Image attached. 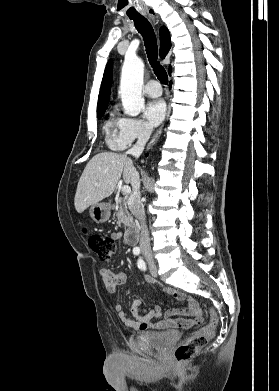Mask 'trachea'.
Returning <instances> with one entry per match:
<instances>
[{
    "instance_id": "obj_1",
    "label": "trachea",
    "mask_w": 279,
    "mask_h": 391,
    "mask_svg": "<svg viewBox=\"0 0 279 391\" xmlns=\"http://www.w3.org/2000/svg\"><path fill=\"white\" fill-rule=\"evenodd\" d=\"M131 19L134 21L137 31L143 37L148 60L151 67L153 68L155 75L157 76L158 80L161 83L167 84L168 83L167 72L165 68L158 61L157 39L152 25L144 17L131 18Z\"/></svg>"
}]
</instances>
